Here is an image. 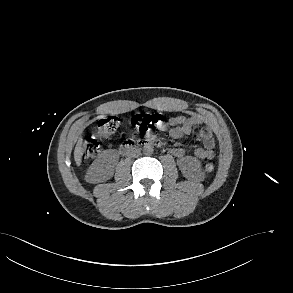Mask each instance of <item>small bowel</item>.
<instances>
[{
  "label": "small bowel",
  "instance_id": "obj_1",
  "mask_svg": "<svg viewBox=\"0 0 293 293\" xmlns=\"http://www.w3.org/2000/svg\"><path fill=\"white\" fill-rule=\"evenodd\" d=\"M203 124V120L201 117L192 116H175L169 118L163 124H161L158 129L161 131H168L169 135L178 139L185 135H189L193 128ZM198 139L203 143V147H199L194 150V157L204 160H211L215 156L214 146L215 141L212 136L210 129L204 126L197 134ZM170 153L177 158H182L186 156V151L182 148H170Z\"/></svg>",
  "mask_w": 293,
  "mask_h": 293
}]
</instances>
